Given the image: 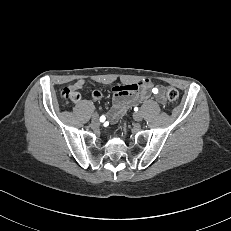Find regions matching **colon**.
Instances as JSON below:
<instances>
[{
  "instance_id": "1",
  "label": "colon",
  "mask_w": 231,
  "mask_h": 231,
  "mask_svg": "<svg viewBox=\"0 0 231 231\" xmlns=\"http://www.w3.org/2000/svg\"><path fill=\"white\" fill-rule=\"evenodd\" d=\"M166 97L169 101H176L179 98V92L173 87L165 89ZM62 97L67 101L77 102L80 100V93L72 87H66L62 91Z\"/></svg>"
}]
</instances>
